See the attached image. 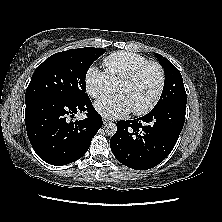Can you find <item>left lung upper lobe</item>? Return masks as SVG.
Returning a JSON list of instances; mask_svg holds the SVG:
<instances>
[{
	"label": "left lung upper lobe",
	"instance_id": "5c2ea615",
	"mask_svg": "<svg viewBox=\"0 0 222 222\" xmlns=\"http://www.w3.org/2000/svg\"><path fill=\"white\" fill-rule=\"evenodd\" d=\"M160 64L164 68L165 81L161 97L155 107L170 101H185L187 95L183 85V79L179 70L165 57L156 54Z\"/></svg>",
	"mask_w": 222,
	"mask_h": 222
}]
</instances>
